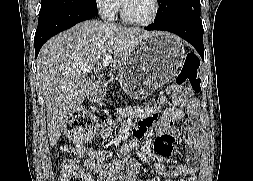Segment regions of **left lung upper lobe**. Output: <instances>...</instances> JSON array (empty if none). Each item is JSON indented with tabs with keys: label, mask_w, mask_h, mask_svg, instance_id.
I'll return each instance as SVG.
<instances>
[{
	"label": "left lung upper lobe",
	"mask_w": 253,
	"mask_h": 181,
	"mask_svg": "<svg viewBox=\"0 0 253 181\" xmlns=\"http://www.w3.org/2000/svg\"><path fill=\"white\" fill-rule=\"evenodd\" d=\"M180 17H200V0H159L154 22Z\"/></svg>",
	"instance_id": "5c2ea615"
}]
</instances>
